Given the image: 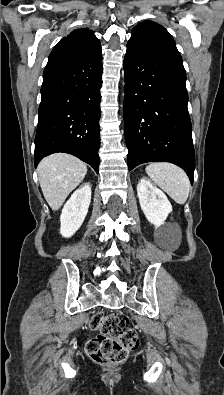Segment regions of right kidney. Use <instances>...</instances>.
Returning <instances> with one entry per match:
<instances>
[{
  "instance_id": "1",
  "label": "right kidney",
  "mask_w": 224,
  "mask_h": 395,
  "mask_svg": "<svg viewBox=\"0 0 224 395\" xmlns=\"http://www.w3.org/2000/svg\"><path fill=\"white\" fill-rule=\"evenodd\" d=\"M91 202V185L86 183L77 189L66 202L60 216V234L69 238L81 227Z\"/></svg>"
}]
</instances>
